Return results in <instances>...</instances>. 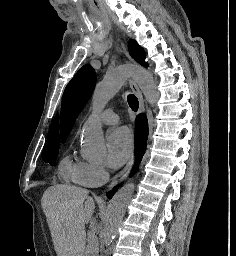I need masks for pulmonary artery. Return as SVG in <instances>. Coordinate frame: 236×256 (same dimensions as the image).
<instances>
[{"mask_svg": "<svg viewBox=\"0 0 236 256\" xmlns=\"http://www.w3.org/2000/svg\"><path fill=\"white\" fill-rule=\"evenodd\" d=\"M99 120L102 124L113 125L119 121V116L113 109H106L99 114Z\"/></svg>", "mask_w": 236, "mask_h": 256, "instance_id": "1", "label": "pulmonary artery"}]
</instances>
